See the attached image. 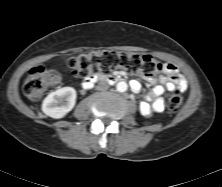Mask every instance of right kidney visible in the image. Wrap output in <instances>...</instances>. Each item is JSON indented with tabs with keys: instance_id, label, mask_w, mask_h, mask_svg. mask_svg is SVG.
<instances>
[{
	"instance_id": "obj_1",
	"label": "right kidney",
	"mask_w": 222,
	"mask_h": 187,
	"mask_svg": "<svg viewBox=\"0 0 222 187\" xmlns=\"http://www.w3.org/2000/svg\"><path fill=\"white\" fill-rule=\"evenodd\" d=\"M76 91L72 87H63L50 93L42 103V111L55 119L63 118L76 103Z\"/></svg>"
}]
</instances>
